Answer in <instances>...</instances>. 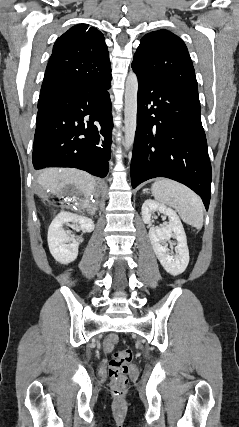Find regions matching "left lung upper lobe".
<instances>
[{"instance_id": "obj_1", "label": "left lung upper lobe", "mask_w": 239, "mask_h": 427, "mask_svg": "<svg viewBox=\"0 0 239 427\" xmlns=\"http://www.w3.org/2000/svg\"><path fill=\"white\" fill-rule=\"evenodd\" d=\"M132 67L145 76L170 83L198 95L194 67L184 42L167 30L146 34Z\"/></svg>"}]
</instances>
